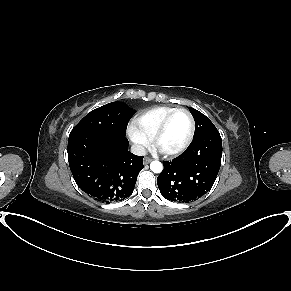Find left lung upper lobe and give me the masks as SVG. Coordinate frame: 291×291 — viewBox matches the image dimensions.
<instances>
[{
	"label": "left lung upper lobe",
	"instance_id": "5c2ea615",
	"mask_svg": "<svg viewBox=\"0 0 291 291\" xmlns=\"http://www.w3.org/2000/svg\"><path fill=\"white\" fill-rule=\"evenodd\" d=\"M189 111L191 112L195 120V133L193 140H196L211 133L218 132L214 124L204 114L192 107H189Z\"/></svg>",
	"mask_w": 291,
	"mask_h": 291
}]
</instances>
